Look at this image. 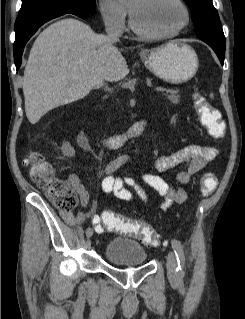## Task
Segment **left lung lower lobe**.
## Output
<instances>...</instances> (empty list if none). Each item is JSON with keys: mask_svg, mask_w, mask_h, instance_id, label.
Listing matches in <instances>:
<instances>
[{"mask_svg": "<svg viewBox=\"0 0 245 319\" xmlns=\"http://www.w3.org/2000/svg\"><path fill=\"white\" fill-rule=\"evenodd\" d=\"M215 53L217 54L221 64L224 63V57H225V50L219 49L218 47L211 46Z\"/></svg>", "mask_w": 245, "mask_h": 319, "instance_id": "left-lung-lower-lobe-1", "label": "left lung lower lobe"}]
</instances>
